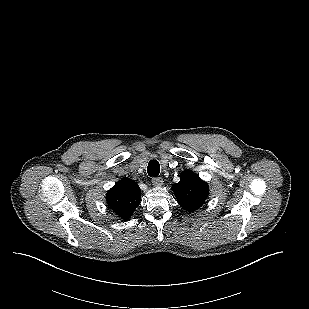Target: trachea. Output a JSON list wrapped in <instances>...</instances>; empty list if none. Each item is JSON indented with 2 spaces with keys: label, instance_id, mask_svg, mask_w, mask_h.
Masks as SVG:
<instances>
[{
  "label": "trachea",
  "instance_id": "3493384b",
  "mask_svg": "<svg viewBox=\"0 0 309 309\" xmlns=\"http://www.w3.org/2000/svg\"><path fill=\"white\" fill-rule=\"evenodd\" d=\"M149 176L157 177L160 173V165L157 160H151L147 167Z\"/></svg>",
  "mask_w": 309,
  "mask_h": 309
}]
</instances>
